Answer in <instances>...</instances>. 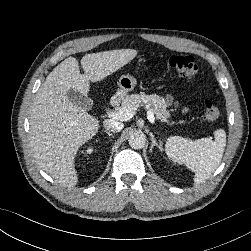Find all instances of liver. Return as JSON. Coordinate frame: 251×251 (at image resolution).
Segmentation results:
<instances>
[{
    "mask_svg": "<svg viewBox=\"0 0 251 251\" xmlns=\"http://www.w3.org/2000/svg\"><path fill=\"white\" fill-rule=\"evenodd\" d=\"M134 49L86 54L80 74L76 58L68 57L46 77L35 95L30 114V147L40 168L58 183H78L75 157L79 148L99 130V121L72 103L66 93L75 89L88 96L90 82H99L135 56Z\"/></svg>",
    "mask_w": 251,
    "mask_h": 251,
    "instance_id": "obj_1",
    "label": "liver"
}]
</instances>
